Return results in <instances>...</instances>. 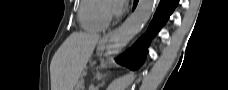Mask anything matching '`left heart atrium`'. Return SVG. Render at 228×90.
Instances as JSON below:
<instances>
[{"label": "left heart atrium", "instance_id": "39dd6f15", "mask_svg": "<svg viewBox=\"0 0 228 90\" xmlns=\"http://www.w3.org/2000/svg\"><path fill=\"white\" fill-rule=\"evenodd\" d=\"M122 7H123L122 5L117 4V5L113 6L112 10L115 14H117V13H120Z\"/></svg>", "mask_w": 228, "mask_h": 90}]
</instances>
